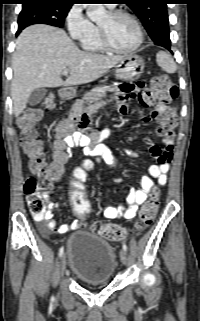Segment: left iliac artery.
<instances>
[{"instance_id": "1", "label": "left iliac artery", "mask_w": 200, "mask_h": 321, "mask_svg": "<svg viewBox=\"0 0 200 321\" xmlns=\"http://www.w3.org/2000/svg\"><path fill=\"white\" fill-rule=\"evenodd\" d=\"M123 249H124L125 251H127V245H126V244H123Z\"/></svg>"}]
</instances>
